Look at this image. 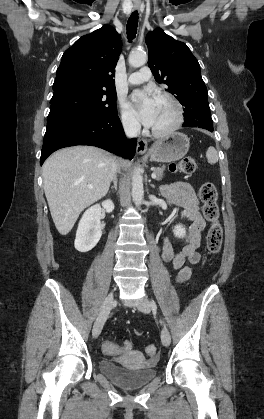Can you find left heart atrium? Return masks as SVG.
<instances>
[{
	"mask_svg": "<svg viewBox=\"0 0 264 419\" xmlns=\"http://www.w3.org/2000/svg\"><path fill=\"white\" fill-rule=\"evenodd\" d=\"M131 99L141 122L152 127L157 117V98L149 91L139 90L133 93Z\"/></svg>",
	"mask_w": 264,
	"mask_h": 419,
	"instance_id": "obj_1",
	"label": "left heart atrium"
}]
</instances>
